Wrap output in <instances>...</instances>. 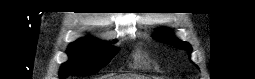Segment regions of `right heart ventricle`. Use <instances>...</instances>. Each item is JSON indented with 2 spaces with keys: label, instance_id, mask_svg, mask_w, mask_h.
<instances>
[{
  "label": "right heart ventricle",
  "instance_id": "right-heart-ventricle-1",
  "mask_svg": "<svg viewBox=\"0 0 255 79\" xmlns=\"http://www.w3.org/2000/svg\"><path fill=\"white\" fill-rule=\"evenodd\" d=\"M135 60L138 66H144V67L150 66V61L148 60L146 56L142 54H137Z\"/></svg>",
  "mask_w": 255,
  "mask_h": 79
}]
</instances>
